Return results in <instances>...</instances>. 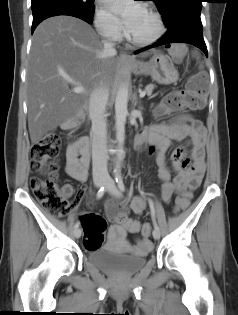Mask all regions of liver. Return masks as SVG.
<instances>
[{
    "label": "liver",
    "mask_w": 238,
    "mask_h": 315,
    "mask_svg": "<svg viewBox=\"0 0 238 315\" xmlns=\"http://www.w3.org/2000/svg\"><path fill=\"white\" fill-rule=\"evenodd\" d=\"M119 65L114 55L104 56L97 34L86 22L66 15L44 20L34 32L27 67L32 144L57 126L84 118L90 93L100 84L113 87ZM68 79L84 87L85 92H73Z\"/></svg>",
    "instance_id": "6515ba94"
}]
</instances>
